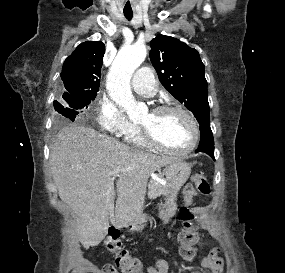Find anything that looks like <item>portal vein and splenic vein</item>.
Returning a JSON list of instances; mask_svg holds the SVG:
<instances>
[{
  "label": "portal vein and splenic vein",
  "mask_w": 285,
  "mask_h": 273,
  "mask_svg": "<svg viewBox=\"0 0 285 273\" xmlns=\"http://www.w3.org/2000/svg\"><path fill=\"white\" fill-rule=\"evenodd\" d=\"M120 171H121V170H120L119 168L113 169V170L111 171V175H112V177H113V178L118 177V176H119Z\"/></svg>",
  "instance_id": "1"
}]
</instances>
